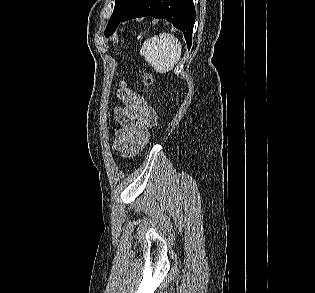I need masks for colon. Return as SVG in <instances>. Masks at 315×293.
I'll return each mask as SVG.
<instances>
[{
    "mask_svg": "<svg viewBox=\"0 0 315 293\" xmlns=\"http://www.w3.org/2000/svg\"><path fill=\"white\" fill-rule=\"evenodd\" d=\"M139 41L141 43H144L146 41V38L144 37V33L140 32L138 34ZM118 85H121L120 87L117 88V93L118 94H129L131 91V86L127 85L128 80L127 78H118L117 80ZM143 83L146 87H150L153 84V76L149 71H145L143 73ZM149 138V134L147 133L142 140L141 144L139 145L138 151H140L147 143Z\"/></svg>",
    "mask_w": 315,
    "mask_h": 293,
    "instance_id": "colon-1",
    "label": "colon"
}]
</instances>
